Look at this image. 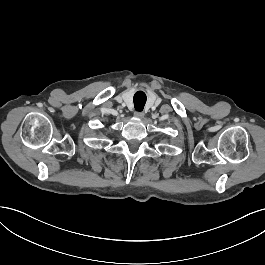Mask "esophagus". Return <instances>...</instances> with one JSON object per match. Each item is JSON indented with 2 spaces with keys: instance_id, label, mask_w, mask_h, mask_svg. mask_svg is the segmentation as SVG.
Listing matches in <instances>:
<instances>
[{
  "instance_id": "1",
  "label": "esophagus",
  "mask_w": 265,
  "mask_h": 265,
  "mask_svg": "<svg viewBox=\"0 0 265 265\" xmlns=\"http://www.w3.org/2000/svg\"><path fill=\"white\" fill-rule=\"evenodd\" d=\"M134 116H135L136 118H142V117L144 116V113H143V112H137V111H136V113L134 114Z\"/></svg>"
}]
</instances>
